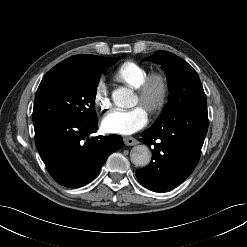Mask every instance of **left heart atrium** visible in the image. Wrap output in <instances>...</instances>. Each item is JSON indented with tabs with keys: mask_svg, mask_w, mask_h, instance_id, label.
I'll return each instance as SVG.
<instances>
[{
	"mask_svg": "<svg viewBox=\"0 0 247 247\" xmlns=\"http://www.w3.org/2000/svg\"><path fill=\"white\" fill-rule=\"evenodd\" d=\"M147 121L146 110L137 106L129 110H112L103 117L101 127L108 133L129 135L143 128Z\"/></svg>",
	"mask_w": 247,
	"mask_h": 247,
	"instance_id": "39dd6f15",
	"label": "left heart atrium"
}]
</instances>
